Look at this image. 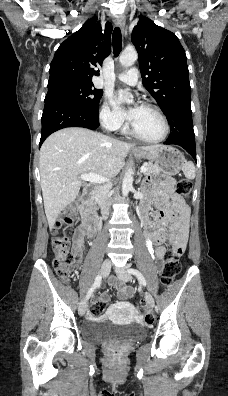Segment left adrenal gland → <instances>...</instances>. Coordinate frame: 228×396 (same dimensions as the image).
<instances>
[{
  "label": "left adrenal gland",
  "mask_w": 228,
  "mask_h": 396,
  "mask_svg": "<svg viewBox=\"0 0 228 396\" xmlns=\"http://www.w3.org/2000/svg\"><path fill=\"white\" fill-rule=\"evenodd\" d=\"M141 177H142V175H141V174H139V177H138L137 183H139V182H140V180H141Z\"/></svg>",
  "instance_id": "1"
}]
</instances>
